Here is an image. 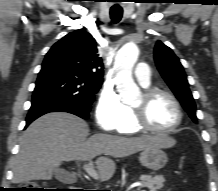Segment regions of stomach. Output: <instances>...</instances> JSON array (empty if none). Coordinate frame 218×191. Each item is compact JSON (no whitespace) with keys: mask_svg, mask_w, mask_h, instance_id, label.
<instances>
[{"mask_svg":"<svg viewBox=\"0 0 218 191\" xmlns=\"http://www.w3.org/2000/svg\"><path fill=\"white\" fill-rule=\"evenodd\" d=\"M139 161L144 167L158 171L166 165L168 158L161 147L154 146L144 149L140 153Z\"/></svg>","mask_w":218,"mask_h":191,"instance_id":"0dacf381","label":"stomach"}]
</instances>
